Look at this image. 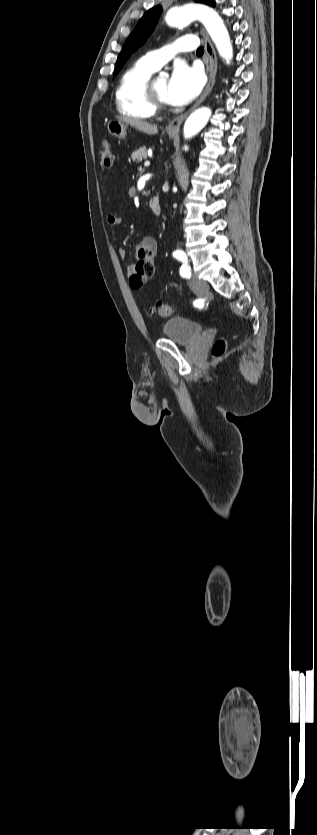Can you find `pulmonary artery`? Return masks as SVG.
Segmentation results:
<instances>
[{
    "label": "pulmonary artery",
    "instance_id": "obj_1",
    "mask_svg": "<svg viewBox=\"0 0 317 835\" xmlns=\"http://www.w3.org/2000/svg\"><path fill=\"white\" fill-rule=\"evenodd\" d=\"M198 47V39L194 35H185L177 38L173 43L160 49L152 50L143 56V60L153 69H159L179 52L193 51Z\"/></svg>",
    "mask_w": 317,
    "mask_h": 835
}]
</instances>
